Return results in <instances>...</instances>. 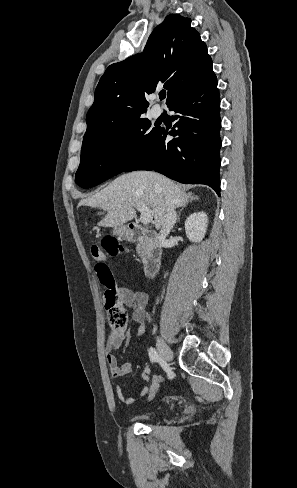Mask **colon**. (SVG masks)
<instances>
[{
	"label": "colon",
	"instance_id": "colon-1",
	"mask_svg": "<svg viewBox=\"0 0 297 488\" xmlns=\"http://www.w3.org/2000/svg\"><path fill=\"white\" fill-rule=\"evenodd\" d=\"M122 251L123 248L117 243L116 239L110 236L104 239L103 248L93 246L91 249L92 256L97 260L95 271L101 284L105 288L104 303L108 311L111 335L116 338H120L124 335L126 318L125 313L120 307L118 287L113 273L103 257L106 256V253L111 256H116ZM164 376V372H161L160 375H153L150 389L146 393L148 402L154 401V397L157 396L159 392V386H161Z\"/></svg>",
	"mask_w": 297,
	"mask_h": 488
}]
</instances>
